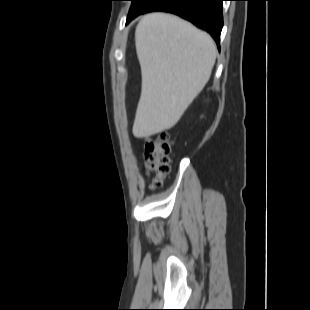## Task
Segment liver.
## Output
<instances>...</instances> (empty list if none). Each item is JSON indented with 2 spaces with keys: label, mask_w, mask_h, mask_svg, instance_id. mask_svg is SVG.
I'll list each match as a JSON object with an SVG mask.
<instances>
[{
  "label": "liver",
  "mask_w": 310,
  "mask_h": 310,
  "mask_svg": "<svg viewBox=\"0 0 310 310\" xmlns=\"http://www.w3.org/2000/svg\"><path fill=\"white\" fill-rule=\"evenodd\" d=\"M135 43L142 88L133 135L146 138L180 120L208 82L217 48L210 35L166 13L145 15Z\"/></svg>",
  "instance_id": "liver-1"
}]
</instances>
